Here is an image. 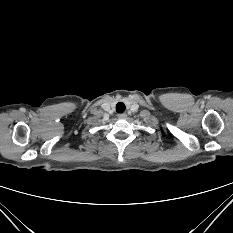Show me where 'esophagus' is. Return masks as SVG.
I'll use <instances>...</instances> for the list:
<instances>
[{"mask_svg":"<svg viewBox=\"0 0 233 233\" xmlns=\"http://www.w3.org/2000/svg\"><path fill=\"white\" fill-rule=\"evenodd\" d=\"M127 117L126 113H120L118 114L119 119H125Z\"/></svg>","mask_w":233,"mask_h":233,"instance_id":"obj_1","label":"esophagus"}]
</instances>
